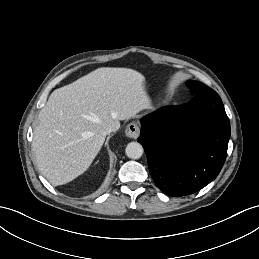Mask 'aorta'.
<instances>
[{"mask_svg": "<svg viewBox=\"0 0 259 259\" xmlns=\"http://www.w3.org/2000/svg\"><path fill=\"white\" fill-rule=\"evenodd\" d=\"M125 153L131 159H139L143 154V147L138 142H130L126 146Z\"/></svg>", "mask_w": 259, "mask_h": 259, "instance_id": "762f6f07", "label": "aorta"}]
</instances>
